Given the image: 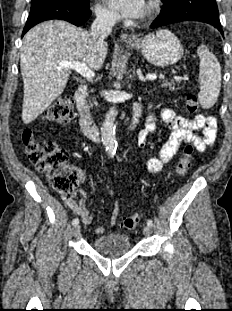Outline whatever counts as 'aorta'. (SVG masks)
Here are the masks:
<instances>
[{
    "instance_id": "1",
    "label": "aorta",
    "mask_w": 232,
    "mask_h": 311,
    "mask_svg": "<svg viewBox=\"0 0 232 311\" xmlns=\"http://www.w3.org/2000/svg\"><path fill=\"white\" fill-rule=\"evenodd\" d=\"M118 111L115 107H111L107 112L105 119L101 127V137L103 145L106 149V152L110 156H114L117 149V140H116V126L115 119L117 117Z\"/></svg>"
}]
</instances>
